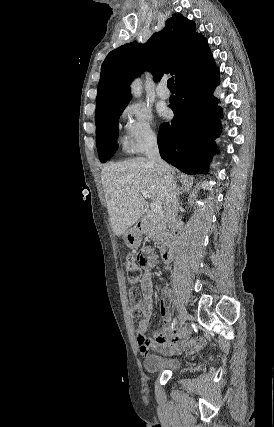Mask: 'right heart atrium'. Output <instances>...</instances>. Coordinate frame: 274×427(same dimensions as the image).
<instances>
[{"label":"right heart atrium","instance_id":"1","mask_svg":"<svg viewBox=\"0 0 274 427\" xmlns=\"http://www.w3.org/2000/svg\"><path fill=\"white\" fill-rule=\"evenodd\" d=\"M123 118L125 142L129 149L139 153L156 143L158 135L148 108L140 104L130 106L124 111Z\"/></svg>","mask_w":274,"mask_h":427}]
</instances>
